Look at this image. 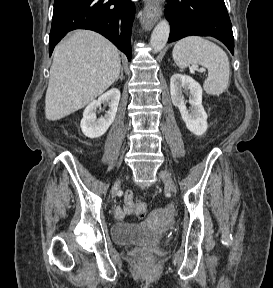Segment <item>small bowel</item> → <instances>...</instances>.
Masks as SVG:
<instances>
[{
	"instance_id": "1",
	"label": "small bowel",
	"mask_w": 273,
	"mask_h": 288,
	"mask_svg": "<svg viewBox=\"0 0 273 288\" xmlns=\"http://www.w3.org/2000/svg\"><path fill=\"white\" fill-rule=\"evenodd\" d=\"M125 204L123 206H117L114 209V215L117 219H123L126 215L133 212L132 203H133V194L127 192L124 197Z\"/></svg>"
}]
</instances>
